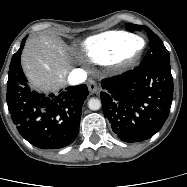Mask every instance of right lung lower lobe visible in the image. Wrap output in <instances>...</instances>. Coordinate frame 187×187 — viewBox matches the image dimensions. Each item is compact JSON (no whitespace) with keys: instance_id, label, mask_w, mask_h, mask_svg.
I'll list each match as a JSON object with an SVG mask.
<instances>
[{"instance_id":"98d812e1","label":"right lung lower lobe","mask_w":187,"mask_h":187,"mask_svg":"<svg viewBox=\"0 0 187 187\" xmlns=\"http://www.w3.org/2000/svg\"><path fill=\"white\" fill-rule=\"evenodd\" d=\"M27 36L13 55L7 82V104L24 139L42 149H59L77 137L87 86L67 87L49 95L32 91L23 73L20 56Z\"/></svg>"}]
</instances>
